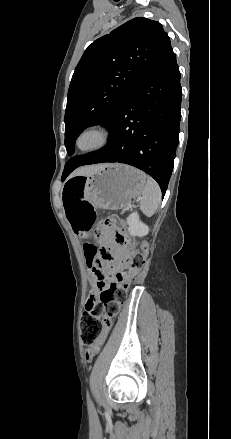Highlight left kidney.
Here are the masks:
<instances>
[{
	"mask_svg": "<svg viewBox=\"0 0 231 439\" xmlns=\"http://www.w3.org/2000/svg\"><path fill=\"white\" fill-rule=\"evenodd\" d=\"M128 231L131 236H145L149 232L147 225L142 223L139 219V215L134 212L127 218Z\"/></svg>",
	"mask_w": 231,
	"mask_h": 439,
	"instance_id": "1",
	"label": "left kidney"
}]
</instances>
